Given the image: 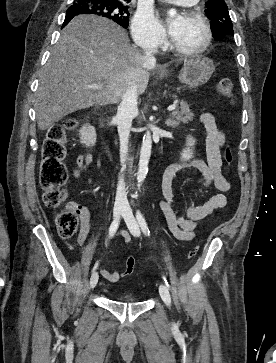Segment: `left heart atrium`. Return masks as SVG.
Here are the masks:
<instances>
[{"instance_id":"left-heart-atrium-1","label":"left heart atrium","mask_w":276,"mask_h":363,"mask_svg":"<svg viewBox=\"0 0 276 363\" xmlns=\"http://www.w3.org/2000/svg\"><path fill=\"white\" fill-rule=\"evenodd\" d=\"M178 27H179V19H175L169 24V33L172 37L176 34Z\"/></svg>"}]
</instances>
